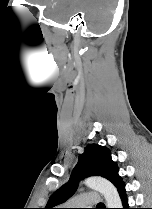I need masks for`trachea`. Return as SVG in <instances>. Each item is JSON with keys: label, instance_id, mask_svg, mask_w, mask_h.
<instances>
[{"label": "trachea", "instance_id": "3493384b", "mask_svg": "<svg viewBox=\"0 0 152 209\" xmlns=\"http://www.w3.org/2000/svg\"><path fill=\"white\" fill-rule=\"evenodd\" d=\"M104 204L103 203H99L98 205H97V207H102Z\"/></svg>", "mask_w": 152, "mask_h": 209}]
</instances>
